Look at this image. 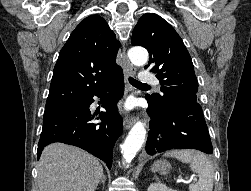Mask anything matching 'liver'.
Listing matches in <instances>:
<instances>
[{
	"label": "liver",
	"mask_w": 251,
	"mask_h": 191,
	"mask_svg": "<svg viewBox=\"0 0 251 191\" xmlns=\"http://www.w3.org/2000/svg\"><path fill=\"white\" fill-rule=\"evenodd\" d=\"M102 175L97 157L74 145L50 143L39 159L40 191H95Z\"/></svg>",
	"instance_id": "obj_1"
}]
</instances>
